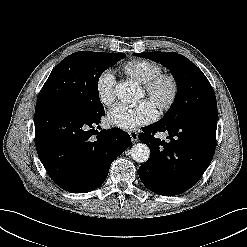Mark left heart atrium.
I'll return each mask as SVG.
<instances>
[{"mask_svg": "<svg viewBox=\"0 0 247 247\" xmlns=\"http://www.w3.org/2000/svg\"><path fill=\"white\" fill-rule=\"evenodd\" d=\"M157 115V108L144 100L134 106L115 105L107 114V122L122 130H132L153 122Z\"/></svg>", "mask_w": 247, "mask_h": 247, "instance_id": "1", "label": "left heart atrium"}]
</instances>
